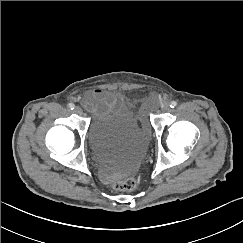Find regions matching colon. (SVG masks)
Segmentation results:
<instances>
[{
  "label": "colon",
  "instance_id": "5ec220e1",
  "mask_svg": "<svg viewBox=\"0 0 243 243\" xmlns=\"http://www.w3.org/2000/svg\"><path fill=\"white\" fill-rule=\"evenodd\" d=\"M138 181L134 177H130L123 180H118L113 184V188L116 191L129 192L137 187Z\"/></svg>",
  "mask_w": 243,
  "mask_h": 243
}]
</instances>
